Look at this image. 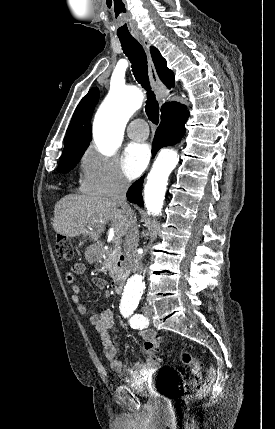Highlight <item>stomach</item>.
I'll use <instances>...</instances> for the list:
<instances>
[{
	"instance_id": "0dacf381",
	"label": "stomach",
	"mask_w": 275,
	"mask_h": 429,
	"mask_svg": "<svg viewBox=\"0 0 275 429\" xmlns=\"http://www.w3.org/2000/svg\"><path fill=\"white\" fill-rule=\"evenodd\" d=\"M101 251L98 244H92L85 251V258L88 262L93 263L100 259Z\"/></svg>"
}]
</instances>
